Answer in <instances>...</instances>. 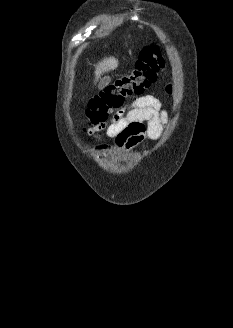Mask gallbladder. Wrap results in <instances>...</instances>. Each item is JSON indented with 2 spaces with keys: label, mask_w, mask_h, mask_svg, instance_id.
<instances>
[{
  "label": "gallbladder",
  "mask_w": 233,
  "mask_h": 328,
  "mask_svg": "<svg viewBox=\"0 0 233 328\" xmlns=\"http://www.w3.org/2000/svg\"><path fill=\"white\" fill-rule=\"evenodd\" d=\"M111 81L110 77H104L101 79L100 83H99V89H103L104 87H106Z\"/></svg>",
  "instance_id": "gallbladder-1"
}]
</instances>
